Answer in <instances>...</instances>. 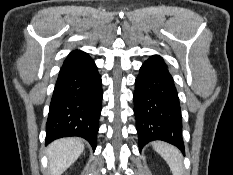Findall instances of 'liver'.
Wrapping results in <instances>:
<instances>
[{
    "label": "liver",
    "mask_w": 233,
    "mask_h": 175,
    "mask_svg": "<svg viewBox=\"0 0 233 175\" xmlns=\"http://www.w3.org/2000/svg\"><path fill=\"white\" fill-rule=\"evenodd\" d=\"M84 144L80 138H62L52 142L47 148L51 175H61L80 156Z\"/></svg>",
    "instance_id": "1"
}]
</instances>
